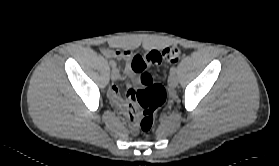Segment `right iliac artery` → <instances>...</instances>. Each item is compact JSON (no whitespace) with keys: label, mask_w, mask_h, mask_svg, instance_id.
Listing matches in <instances>:
<instances>
[{"label":"right iliac artery","mask_w":279,"mask_h":166,"mask_svg":"<svg viewBox=\"0 0 279 166\" xmlns=\"http://www.w3.org/2000/svg\"><path fill=\"white\" fill-rule=\"evenodd\" d=\"M109 64H110V66H111L112 68H115V67H116V63H115V61H113V60H110Z\"/></svg>","instance_id":"right-iliac-artery-1"}]
</instances>
